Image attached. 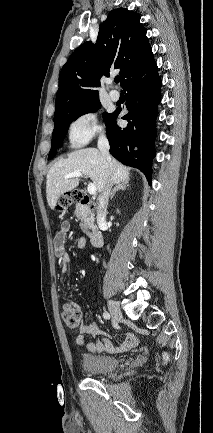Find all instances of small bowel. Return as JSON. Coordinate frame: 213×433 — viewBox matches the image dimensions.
<instances>
[{"label": "small bowel", "mask_w": 213, "mask_h": 433, "mask_svg": "<svg viewBox=\"0 0 213 433\" xmlns=\"http://www.w3.org/2000/svg\"><path fill=\"white\" fill-rule=\"evenodd\" d=\"M70 229V223L64 221L61 223L59 230L54 236V253L60 262V271L63 277L69 271V266L72 262V256L66 251V239ZM86 239L80 237L77 241L79 248L84 247ZM90 335L97 338L96 341L87 342L86 336ZM76 344L78 346H85L92 353L108 352L111 354L122 353L130 350L138 344V338L135 334H128L125 341L119 346L111 343L109 334L99 329L96 323L81 324L79 326V334L76 337Z\"/></svg>", "instance_id": "c3829d8e"}]
</instances>
